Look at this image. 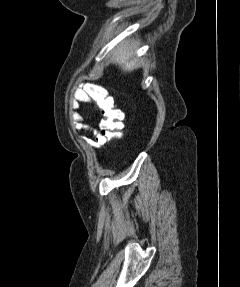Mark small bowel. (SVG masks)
<instances>
[{
    "label": "small bowel",
    "instance_id": "small-bowel-1",
    "mask_svg": "<svg viewBox=\"0 0 240 287\" xmlns=\"http://www.w3.org/2000/svg\"><path fill=\"white\" fill-rule=\"evenodd\" d=\"M81 103H93L91 97L87 94L86 91L77 88L73 93V97L70 102V106L74 110H78L80 108ZM97 106V104H95ZM98 108V106H97ZM80 120H84L83 116H79ZM84 128L90 131L93 136L94 140L86 139L87 143L90 144L95 149H100L102 145L106 143V139L102 136L101 132L95 126L85 125Z\"/></svg>",
    "mask_w": 240,
    "mask_h": 287
}]
</instances>
